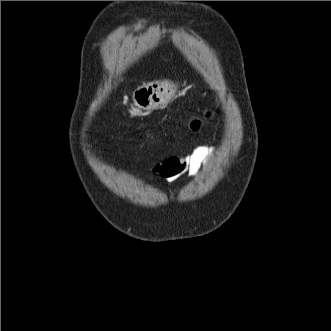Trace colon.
<instances>
[{
    "label": "colon",
    "instance_id": "5ec220e1",
    "mask_svg": "<svg viewBox=\"0 0 331 331\" xmlns=\"http://www.w3.org/2000/svg\"><path fill=\"white\" fill-rule=\"evenodd\" d=\"M198 125H199L198 122L195 121V122L192 123L191 127H192L193 130H197Z\"/></svg>",
    "mask_w": 331,
    "mask_h": 331
}]
</instances>
